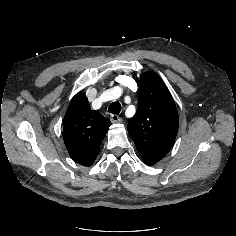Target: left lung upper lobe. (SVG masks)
<instances>
[{"instance_id": "1", "label": "left lung upper lobe", "mask_w": 236, "mask_h": 236, "mask_svg": "<svg viewBox=\"0 0 236 236\" xmlns=\"http://www.w3.org/2000/svg\"><path fill=\"white\" fill-rule=\"evenodd\" d=\"M174 100L162 79L153 72L141 76L138 108L128 132L142 159L160 161L173 146L178 126Z\"/></svg>"}]
</instances>
